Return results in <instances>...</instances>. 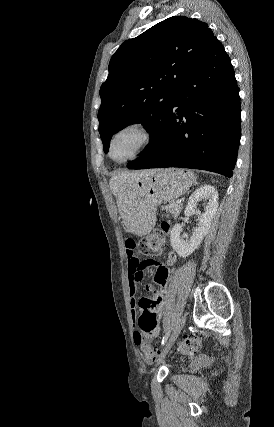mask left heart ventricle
Returning a JSON list of instances; mask_svg holds the SVG:
<instances>
[{
	"label": "left heart ventricle",
	"mask_w": 274,
	"mask_h": 427,
	"mask_svg": "<svg viewBox=\"0 0 274 427\" xmlns=\"http://www.w3.org/2000/svg\"><path fill=\"white\" fill-rule=\"evenodd\" d=\"M140 142L141 136L137 131H123L114 138L111 155L116 161H124L134 154Z\"/></svg>",
	"instance_id": "b2bd125f"
}]
</instances>
